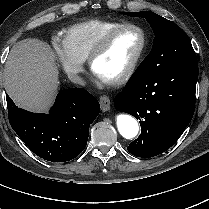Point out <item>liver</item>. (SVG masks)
<instances>
[{"label": "liver", "instance_id": "liver-1", "mask_svg": "<svg viewBox=\"0 0 209 209\" xmlns=\"http://www.w3.org/2000/svg\"><path fill=\"white\" fill-rule=\"evenodd\" d=\"M4 86L16 105L31 111H46L59 86L50 46L38 39L17 42L5 64Z\"/></svg>", "mask_w": 209, "mask_h": 209}]
</instances>
